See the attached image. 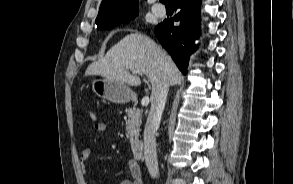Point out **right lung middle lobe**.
<instances>
[{
  "label": "right lung middle lobe",
  "mask_w": 293,
  "mask_h": 184,
  "mask_svg": "<svg viewBox=\"0 0 293 184\" xmlns=\"http://www.w3.org/2000/svg\"><path fill=\"white\" fill-rule=\"evenodd\" d=\"M137 15H138V13L134 14L132 16H129V17H126V18L111 22V23H107V24H104V25H99L97 27H98V29H101V30H104V29L109 30V29H112V28H114L115 26H117V25H119L121 23H124V22H127V21H130V20L134 19Z\"/></svg>",
  "instance_id": "dd1d6c3e"
}]
</instances>
